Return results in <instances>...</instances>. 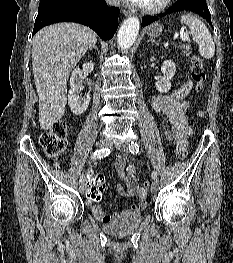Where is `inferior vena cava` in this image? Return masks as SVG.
<instances>
[{"instance_id":"obj_1","label":"inferior vena cava","mask_w":233,"mask_h":263,"mask_svg":"<svg viewBox=\"0 0 233 263\" xmlns=\"http://www.w3.org/2000/svg\"><path fill=\"white\" fill-rule=\"evenodd\" d=\"M107 2L111 5L114 2V0H107Z\"/></svg>"}]
</instances>
